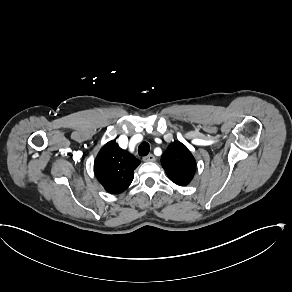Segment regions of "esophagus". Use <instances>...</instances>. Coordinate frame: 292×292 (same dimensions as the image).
Segmentation results:
<instances>
[{
	"label": "esophagus",
	"mask_w": 292,
	"mask_h": 292,
	"mask_svg": "<svg viewBox=\"0 0 292 292\" xmlns=\"http://www.w3.org/2000/svg\"><path fill=\"white\" fill-rule=\"evenodd\" d=\"M155 156L153 154H148L146 156L143 157V161L144 162H152L155 161Z\"/></svg>",
	"instance_id": "34e87169"
}]
</instances>
